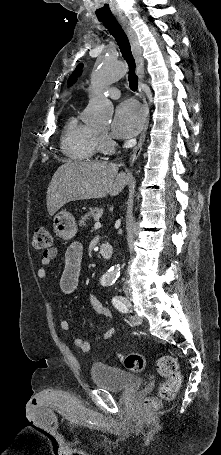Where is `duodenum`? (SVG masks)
<instances>
[{"label":"duodenum","instance_id":"duodenum-1","mask_svg":"<svg viewBox=\"0 0 221 455\" xmlns=\"http://www.w3.org/2000/svg\"><path fill=\"white\" fill-rule=\"evenodd\" d=\"M99 253L103 258L109 259L112 257L113 248L109 243H103L99 247Z\"/></svg>","mask_w":221,"mask_h":455}]
</instances>
